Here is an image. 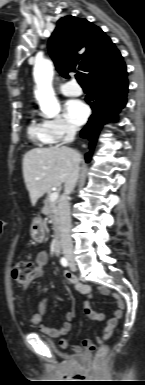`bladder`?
Masks as SVG:
<instances>
[{
  "label": "bladder",
  "instance_id": "obj_1",
  "mask_svg": "<svg viewBox=\"0 0 145 385\" xmlns=\"http://www.w3.org/2000/svg\"><path fill=\"white\" fill-rule=\"evenodd\" d=\"M50 344H51V346H55V344L53 342H51V341H50ZM81 360H85V357L81 356Z\"/></svg>",
  "mask_w": 145,
  "mask_h": 385
}]
</instances>
